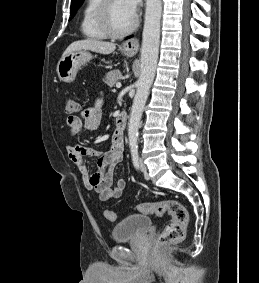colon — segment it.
<instances>
[{
    "instance_id": "obj_1",
    "label": "colon",
    "mask_w": 259,
    "mask_h": 283,
    "mask_svg": "<svg viewBox=\"0 0 259 283\" xmlns=\"http://www.w3.org/2000/svg\"><path fill=\"white\" fill-rule=\"evenodd\" d=\"M78 110V102L72 97H67L65 99V111L69 114H74L77 113ZM136 208L139 212L144 214H151L158 217L165 214L171 216L172 220L157 236V246L176 244L184 239L189 214L187 209L180 202L169 199L158 203H140ZM105 217L110 222L116 219L115 213L111 210L105 211Z\"/></svg>"
}]
</instances>
